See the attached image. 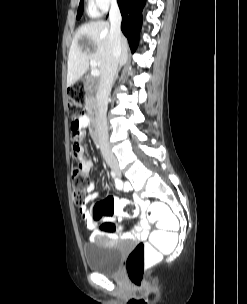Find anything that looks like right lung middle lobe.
I'll return each mask as SVG.
<instances>
[{"mask_svg": "<svg viewBox=\"0 0 247 304\" xmlns=\"http://www.w3.org/2000/svg\"><path fill=\"white\" fill-rule=\"evenodd\" d=\"M83 2H84V0H80L78 13H77V19H79L83 13Z\"/></svg>", "mask_w": 247, "mask_h": 304, "instance_id": "dd1d6c3e", "label": "right lung middle lobe"}]
</instances>
